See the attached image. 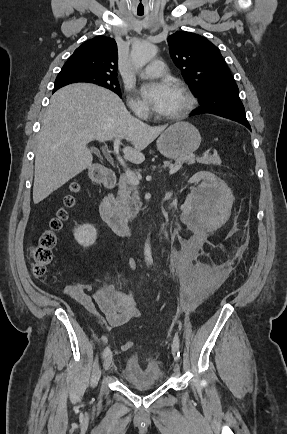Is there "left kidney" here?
<instances>
[{"label":"left kidney","instance_id":"left-kidney-1","mask_svg":"<svg viewBox=\"0 0 287 434\" xmlns=\"http://www.w3.org/2000/svg\"><path fill=\"white\" fill-rule=\"evenodd\" d=\"M197 181H201V184L188 195L184 214L201 220L222 221L233 204L231 190L223 180L207 171L196 173L188 182Z\"/></svg>","mask_w":287,"mask_h":434}]
</instances>
